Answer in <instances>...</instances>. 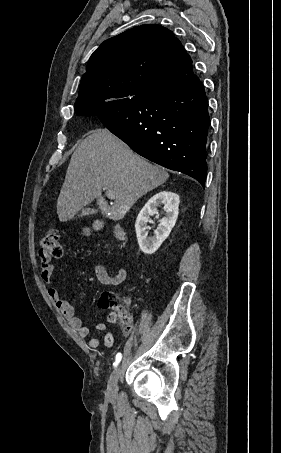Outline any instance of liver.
<instances>
[{
  "mask_svg": "<svg viewBox=\"0 0 281 453\" xmlns=\"http://www.w3.org/2000/svg\"><path fill=\"white\" fill-rule=\"evenodd\" d=\"M91 132L74 150L66 170L57 198L61 222L73 218L95 198L101 214L120 220L138 198L166 182L169 176L165 168L135 154L107 128ZM102 190H113V204H108Z\"/></svg>",
  "mask_w": 281,
  "mask_h": 453,
  "instance_id": "liver-1",
  "label": "liver"
}]
</instances>
